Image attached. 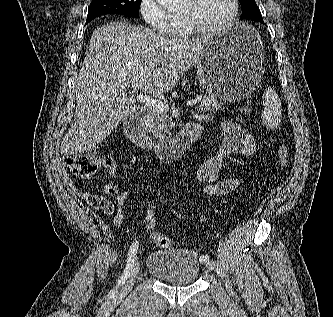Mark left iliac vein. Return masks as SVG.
I'll use <instances>...</instances> for the list:
<instances>
[{"mask_svg": "<svg viewBox=\"0 0 333 317\" xmlns=\"http://www.w3.org/2000/svg\"><path fill=\"white\" fill-rule=\"evenodd\" d=\"M215 261L210 259L206 262V267L210 270H213L215 268Z\"/></svg>", "mask_w": 333, "mask_h": 317, "instance_id": "obj_1", "label": "left iliac vein"}]
</instances>
